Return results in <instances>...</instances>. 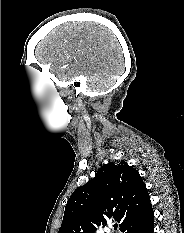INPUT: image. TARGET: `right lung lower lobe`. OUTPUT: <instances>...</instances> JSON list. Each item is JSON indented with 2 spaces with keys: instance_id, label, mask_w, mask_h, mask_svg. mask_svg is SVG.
<instances>
[{
  "instance_id": "1",
  "label": "right lung lower lobe",
  "mask_w": 184,
  "mask_h": 233,
  "mask_svg": "<svg viewBox=\"0 0 184 233\" xmlns=\"http://www.w3.org/2000/svg\"><path fill=\"white\" fill-rule=\"evenodd\" d=\"M122 233H154V212L150 205L139 217L121 229Z\"/></svg>"
}]
</instances>
